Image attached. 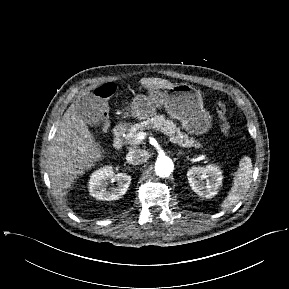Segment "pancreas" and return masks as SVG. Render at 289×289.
Segmentation results:
<instances>
[{
  "label": "pancreas",
  "mask_w": 289,
  "mask_h": 289,
  "mask_svg": "<svg viewBox=\"0 0 289 289\" xmlns=\"http://www.w3.org/2000/svg\"><path fill=\"white\" fill-rule=\"evenodd\" d=\"M146 129H154L164 133L170 137L172 143H177L182 147H199L200 145L193 139L189 138L187 134L180 131V128L172 120H168L163 115H155L145 121L131 125L128 129L126 139L131 145H138L141 141L136 139L140 131Z\"/></svg>",
  "instance_id": "obj_1"
}]
</instances>
